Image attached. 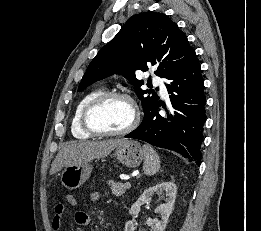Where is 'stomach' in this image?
<instances>
[{
  "label": "stomach",
  "mask_w": 261,
  "mask_h": 231,
  "mask_svg": "<svg viewBox=\"0 0 261 231\" xmlns=\"http://www.w3.org/2000/svg\"><path fill=\"white\" fill-rule=\"evenodd\" d=\"M114 155L118 161L129 168L139 166L144 159V151L140 144L134 140H124L115 148ZM92 172V166L88 163L81 165H69L61 173L62 184L70 189H76L84 184Z\"/></svg>",
  "instance_id": "1"
}]
</instances>
